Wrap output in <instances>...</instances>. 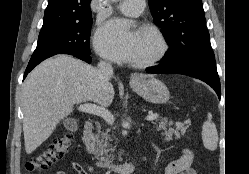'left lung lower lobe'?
<instances>
[{
	"label": "left lung lower lobe",
	"mask_w": 249,
	"mask_h": 174,
	"mask_svg": "<svg viewBox=\"0 0 249 174\" xmlns=\"http://www.w3.org/2000/svg\"><path fill=\"white\" fill-rule=\"evenodd\" d=\"M147 73L182 74L197 78L210 85L218 97H221L220 80L217 73L215 58L197 59L172 66L162 63L158 67L148 68Z\"/></svg>",
	"instance_id": "0a47b994"
}]
</instances>
